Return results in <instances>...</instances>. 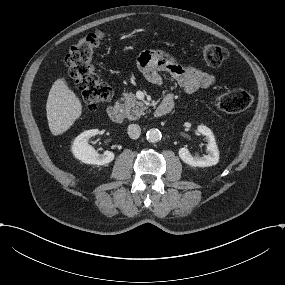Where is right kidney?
Here are the masks:
<instances>
[{
    "label": "right kidney",
    "instance_id": "1",
    "mask_svg": "<svg viewBox=\"0 0 285 285\" xmlns=\"http://www.w3.org/2000/svg\"><path fill=\"white\" fill-rule=\"evenodd\" d=\"M97 134H99L98 129L84 131L75 138L72 144V153L83 163L104 165L110 163L114 159L113 152L105 151L103 154H99L88 144V140Z\"/></svg>",
    "mask_w": 285,
    "mask_h": 285
}]
</instances>
